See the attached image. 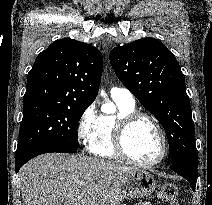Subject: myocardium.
Masks as SVG:
<instances>
[{
  "label": "myocardium",
  "mask_w": 212,
  "mask_h": 205,
  "mask_svg": "<svg viewBox=\"0 0 212 205\" xmlns=\"http://www.w3.org/2000/svg\"><path fill=\"white\" fill-rule=\"evenodd\" d=\"M147 119L149 120L157 130V133L160 138V143H161V150L159 156L151 161H139L135 158H133L127 151L126 146H125V137L126 133L129 129V127L138 119ZM113 145L114 149L117 152V154L123 158L124 160L137 165L141 167H152L160 162L165 158L166 153H167V139L165 132L159 123V121L151 114L141 112V111H132L130 113H127L125 115L120 116L114 125L113 129Z\"/></svg>",
  "instance_id": "obj_1"
}]
</instances>
